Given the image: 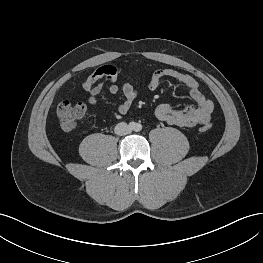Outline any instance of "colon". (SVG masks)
<instances>
[{
    "instance_id": "5ec220e1",
    "label": "colon",
    "mask_w": 263,
    "mask_h": 263,
    "mask_svg": "<svg viewBox=\"0 0 263 263\" xmlns=\"http://www.w3.org/2000/svg\"><path fill=\"white\" fill-rule=\"evenodd\" d=\"M86 107L81 102L62 101L56 110L57 118L60 127L65 131H71L76 128L79 120L84 116ZM211 129L210 125H204L201 128L202 132H207Z\"/></svg>"
}]
</instances>
